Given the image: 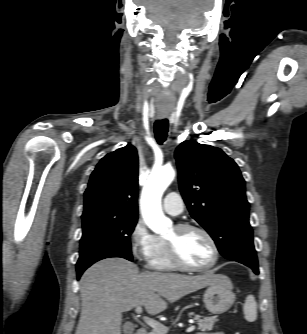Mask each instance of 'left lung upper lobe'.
Segmentation results:
<instances>
[{"label":"left lung upper lobe","mask_w":307,"mask_h":334,"mask_svg":"<svg viewBox=\"0 0 307 334\" xmlns=\"http://www.w3.org/2000/svg\"><path fill=\"white\" fill-rule=\"evenodd\" d=\"M179 186L191 216L210 234L229 260L255 261L245 181L221 149L194 141L175 151Z\"/></svg>","instance_id":"5c2ea615"}]
</instances>
